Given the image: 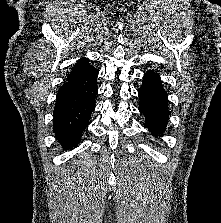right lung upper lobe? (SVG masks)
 <instances>
[{
  "mask_svg": "<svg viewBox=\"0 0 221 223\" xmlns=\"http://www.w3.org/2000/svg\"><path fill=\"white\" fill-rule=\"evenodd\" d=\"M90 67H91V65L89 64V60H87V59L83 58V59L77 61V63L73 67L71 73L68 75L67 79L75 77L76 75L84 72L85 70H87Z\"/></svg>",
  "mask_w": 221,
  "mask_h": 223,
  "instance_id": "right-lung-upper-lobe-1",
  "label": "right lung upper lobe"
}]
</instances>
